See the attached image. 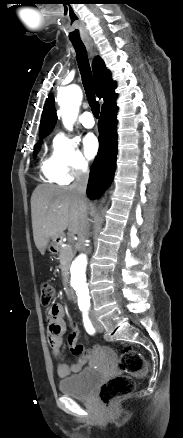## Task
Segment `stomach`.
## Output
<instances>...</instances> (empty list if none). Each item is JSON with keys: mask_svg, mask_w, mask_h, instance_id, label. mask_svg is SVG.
<instances>
[{"mask_svg": "<svg viewBox=\"0 0 183 438\" xmlns=\"http://www.w3.org/2000/svg\"><path fill=\"white\" fill-rule=\"evenodd\" d=\"M58 241L59 237L57 238H51V241L49 242L48 249L50 252H55L58 249Z\"/></svg>", "mask_w": 183, "mask_h": 438, "instance_id": "1", "label": "stomach"}]
</instances>
